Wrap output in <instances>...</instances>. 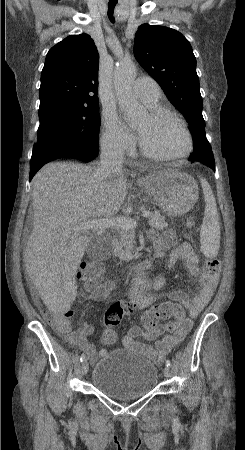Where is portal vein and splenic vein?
Masks as SVG:
<instances>
[{
	"mask_svg": "<svg viewBox=\"0 0 245 450\" xmlns=\"http://www.w3.org/2000/svg\"><path fill=\"white\" fill-rule=\"evenodd\" d=\"M151 215L149 211L142 213L143 218H147ZM137 226V222L133 218L129 217H117V218H100L82 222L72 227L73 232H87L89 230H99L105 228L115 229H134Z\"/></svg>",
	"mask_w": 245,
	"mask_h": 450,
	"instance_id": "18ae733b",
	"label": "portal vein and splenic vein"
}]
</instances>
